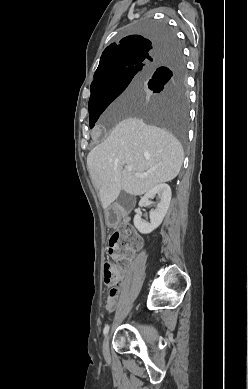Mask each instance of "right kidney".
<instances>
[{
    "mask_svg": "<svg viewBox=\"0 0 248 389\" xmlns=\"http://www.w3.org/2000/svg\"><path fill=\"white\" fill-rule=\"evenodd\" d=\"M156 195L160 201L157 204V208L150 211V223L143 221L140 213L134 216V226L142 234L151 233L162 223L171 201L172 193L170 186L167 184L156 185L140 200L139 206L141 207L149 203V199L154 198Z\"/></svg>",
    "mask_w": 248,
    "mask_h": 389,
    "instance_id": "ca27d5eb",
    "label": "right kidney"
}]
</instances>
